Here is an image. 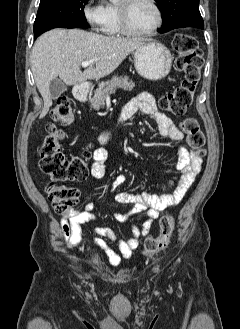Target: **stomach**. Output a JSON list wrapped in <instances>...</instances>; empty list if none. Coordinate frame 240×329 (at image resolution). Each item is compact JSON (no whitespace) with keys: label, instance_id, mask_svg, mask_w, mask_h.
I'll list each match as a JSON object with an SVG mask.
<instances>
[{"label":"stomach","instance_id":"obj_1","mask_svg":"<svg viewBox=\"0 0 240 329\" xmlns=\"http://www.w3.org/2000/svg\"><path fill=\"white\" fill-rule=\"evenodd\" d=\"M137 73L148 80H160L168 75L173 56L162 44L148 40L134 51Z\"/></svg>","mask_w":240,"mask_h":329}]
</instances>
